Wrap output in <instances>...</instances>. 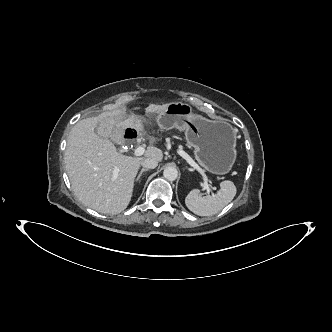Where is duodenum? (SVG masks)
I'll list each match as a JSON object with an SVG mask.
<instances>
[{
    "instance_id": "1",
    "label": "duodenum",
    "mask_w": 332,
    "mask_h": 332,
    "mask_svg": "<svg viewBox=\"0 0 332 332\" xmlns=\"http://www.w3.org/2000/svg\"><path fill=\"white\" fill-rule=\"evenodd\" d=\"M123 137L125 138V140L127 141H132L134 139H136L137 137V133L134 129L132 128H127L124 133H123Z\"/></svg>"
}]
</instances>
